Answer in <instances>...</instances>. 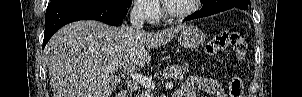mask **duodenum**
Listing matches in <instances>:
<instances>
[{
	"label": "duodenum",
	"mask_w": 302,
	"mask_h": 97,
	"mask_svg": "<svg viewBox=\"0 0 302 97\" xmlns=\"http://www.w3.org/2000/svg\"><path fill=\"white\" fill-rule=\"evenodd\" d=\"M118 97H128V93H127V91H123V92H121L119 95H118ZM174 97H179L177 94H175V96Z\"/></svg>",
	"instance_id": "410a0bca"
}]
</instances>
